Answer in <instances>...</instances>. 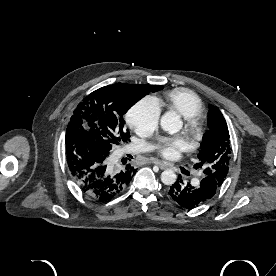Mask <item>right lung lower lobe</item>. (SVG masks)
Instances as JSON below:
<instances>
[{
	"mask_svg": "<svg viewBox=\"0 0 276 276\" xmlns=\"http://www.w3.org/2000/svg\"><path fill=\"white\" fill-rule=\"evenodd\" d=\"M66 158L71 175L83 194L101 202L117 197L137 171L130 165L112 171L107 156L81 135L66 142Z\"/></svg>",
	"mask_w": 276,
	"mask_h": 276,
	"instance_id": "1",
	"label": "right lung lower lobe"
}]
</instances>
